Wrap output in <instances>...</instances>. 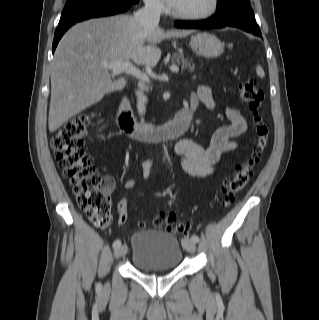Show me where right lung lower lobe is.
<instances>
[{"label": "right lung lower lobe", "instance_id": "98d812e1", "mask_svg": "<svg viewBox=\"0 0 319 320\" xmlns=\"http://www.w3.org/2000/svg\"><path fill=\"white\" fill-rule=\"evenodd\" d=\"M136 3L137 2L133 0H106L104 2H99L83 7L66 16H61V19L55 31L53 52L60 38L63 36L66 30L76 22L94 17H102L122 13Z\"/></svg>", "mask_w": 319, "mask_h": 320}]
</instances>
